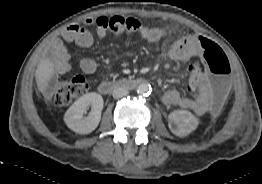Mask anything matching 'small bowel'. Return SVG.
<instances>
[{"instance_id":"1","label":"small bowel","mask_w":262,"mask_h":184,"mask_svg":"<svg viewBox=\"0 0 262 184\" xmlns=\"http://www.w3.org/2000/svg\"><path fill=\"white\" fill-rule=\"evenodd\" d=\"M91 24V19L85 22ZM97 36L100 39L105 38L106 31L102 28H97ZM140 37L147 43L154 44L159 42L164 31L158 27H143L139 32ZM61 37L67 42H75L81 47L89 48L93 44L92 36L81 26L72 24L65 28ZM198 36L188 34L181 36L169 48L168 56L172 60L186 61L185 74L188 80V90L192 94H199L196 97L183 96L177 90H168L162 95V102L167 106H179L184 109H189L197 115H204L209 109V98L212 92L203 91L205 79L209 76V69L204 63L207 61L202 57L200 51L195 47V40ZM54 67L60 74H67L71 70L69 62V54L63 45L61 39H57L53 44ZM80 68L86 74H93L97 65L90 58H83L80 61Z\"/></svg>"}]
</instances>
